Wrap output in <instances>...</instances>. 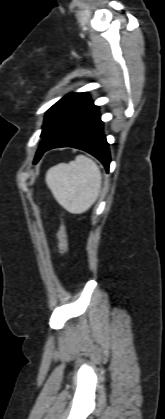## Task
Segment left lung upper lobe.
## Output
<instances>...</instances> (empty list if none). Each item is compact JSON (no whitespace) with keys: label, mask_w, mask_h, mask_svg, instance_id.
I'll return each instance as SVG.
<instances>
[{"label":"left lung upper lobe","mask_w":165,"mask_h":419,"mask_svg":"<svg viewBox=\"0 0 165 419\" xmlns=\"http://www.w3.org/2000/svg\"><path fill=\"white\" fill-rule=\"evenodd\" d=\"M89 96L86 93H70L55 103L45 115L41 137H44L55 124L70 110L87 101Z\"/></svg>","instance_id":"obj_1"}]
</instances>
